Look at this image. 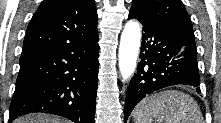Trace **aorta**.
Instances as JSON below:
<instances>
[{
    "instance_id": "aorta-1",
    "label": "aorta",
    "mask_w": 221,
    "mask_h": 123,
    "mask_svg": "<svg viewBox=\"0 0 221 123\" xmlns=\"http://www.w3.org/2000/svg\"><path fill=\"white\" fill-rule=\"evenodd\" d=\"M140 40V25L137 21H128L121 34L119 46V70L124 80L135 72Z\"/></svg>"
}]
</instances>
